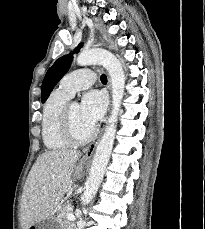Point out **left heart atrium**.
<instances>
[{
    "instance_id": "1",
    "label": "left heart atrium",
    "mask_w": 205,
    "mask_h": 229,
    "mask_svg": "<svg viewBox=\"0 0 205 229\" xmlns=\"http://www.w3.org/2000/svg\"><path fill=\"white\" fill-rule=\"evenodd\" d=\"M106 105L107 99L104 93L98 90L89 91L82 98L81 115L93 127L102 118Z\"/></svg>"
}]
</instances>
